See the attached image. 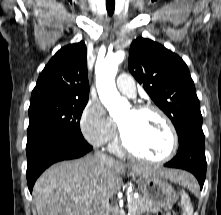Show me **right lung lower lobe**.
I'll return each mask as SVG.
<instances>
[{"instance_id": "right-lung-lower-lobe-1", "label": "right lung lower lobe", "mask_w": 221, "mask_h": 215, "mask_svg": "<svg viewBox=\"0 0 221 215\" xmlns=\"http://www.w3.org/2000/svg\"><path fill=\"white\" fill-rule=\"evenodd\" d=\"M92 150L84 138L66 135L50 136L26 146L27 182L32 193L38 176L50 165L68 159L79 158Z\"/></svg>"}]
</instances>
